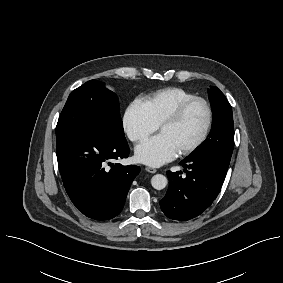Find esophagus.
<instances>
[{
    "instance_id": "34e87169",
    "label": "esophagus",
    "mask_w": 283,
    "mask_h": 283,
    "mask_svg": "<svg viewBox=\"0 0 283 283\" xmlns=\"http://www.w3.org/2000/svg\"><path fill=\"white\" fill-rule=\"evenodd\" d=\"M145 170L149 173H156L157 170L155 168H152V167H146Z\"/></svg>"
}]
</instances>
